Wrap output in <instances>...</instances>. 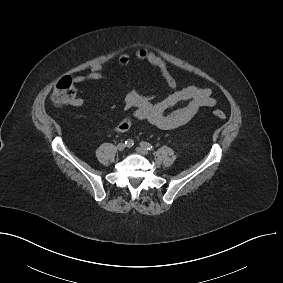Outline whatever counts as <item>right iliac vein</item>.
<instances>
[{
  "label": "right iliac vein",
  "mask_w": 283,
  "mask_h": 283,
  "mask_svg": "<svg viewBox=\"0 0 283 283\" xmlns=\"http://www.w3.org/2000/svg\"><path fill=\"white\" fill-rule=\"evenodd\" d=\"M117 149H118L119 151H123V150L125 149V144H124V143H119V144L117 145Z\"/></svg>",
  "instance_id": "right-iliac-vein-1"
}]
</instances>
